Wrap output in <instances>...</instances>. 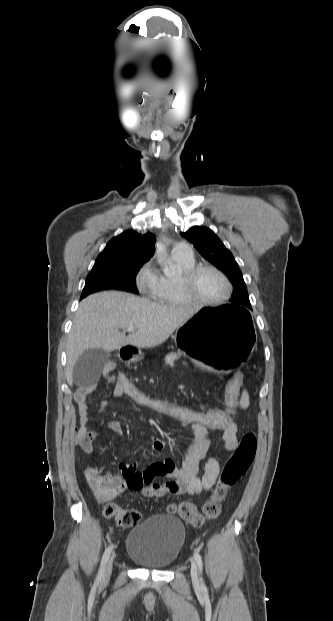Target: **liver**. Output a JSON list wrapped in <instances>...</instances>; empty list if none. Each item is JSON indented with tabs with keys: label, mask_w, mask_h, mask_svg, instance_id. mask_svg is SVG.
I'll return each mask as SVG.
<instances>
[{
	"label": "liver",
	"mask_w": 333,
	"mask_h": 621,
	"mask_svg": "<svg viewBox=\"0 0 333 621\" xmlns=\"http://www.w3.org/2000/svg\"><path fill=\"white\" fill-rule=\"evenodd\" d=\"M194 312L187 308L166 306L136 295L107 291L82 300L75 313L67 339L66 379L73 384V368L79 356L89 349L107 352L131 345L152 348L169 336ZM134 327L128 336L125 330Z\"/></svg>",
	"instance_id": "obj_1"
}]
</instances>
